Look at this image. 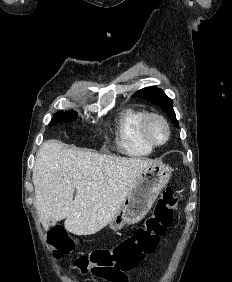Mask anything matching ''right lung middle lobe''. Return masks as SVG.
Here are the masks:
<instances>
[{
	"mask_svg": "<svg viewBox=\"0 0 232 282\" xmlns=\"http://www.w3.org/2000/svg\"><path fill=\"white\" fill-rule=\"evenodd\" d=\"M76 116L77 113L74 111L57 112V114H54V117L52 118L49 126L55 125L56 123L60 122H71L75 119Z\"/></svg>",
	"mask_w": 232,
	"mask_h": 282,
	"instance_id": "1",
	"label": "right lung middle lobe"
}]
</instances>
